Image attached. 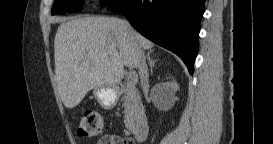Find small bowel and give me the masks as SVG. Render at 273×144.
<instances>
[{
  "mask_svg": "<svg viewBox=\"0 0 273 144\" xmlns=\"http://www.w3.org/2000/svg\"><path fill=\"white\" fill-rule=\"evenodd\" d=\"M99 144H125L132 143L129 139L120 136L107 135L98 141Z\"/></svg>",
  "mask_w": 273,
  "mask_h": 144,
  "instance_id": "small-bowel-1",
  "label": "small bowel"
}]
</instances>
